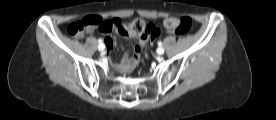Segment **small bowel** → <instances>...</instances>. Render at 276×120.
Here are the masks:
<instances>
[{
	"label": "small bowel",
	"mask_w": 276,
	"mask_h": 120,
	"mask_svg": "<svg viewBox=\"0 0 276 120\" xmlns=\"http://www.w3.org/2000/svg\"><path fill=\"white\" fill-rule=\"evenodd\" d=\"M151 41L150 39H140L139 45H137L132 54L127 56L126 54L123 56L122 63L120 65V71L122 73H129L133 71L140 61L139 53L141 47L144 46L147 42ZM106 48L109 50L113 47V39L107 38L105 39Z\"/></svg>",
	"instance_id": "c3829d8e"
}]
</instances>
